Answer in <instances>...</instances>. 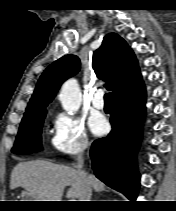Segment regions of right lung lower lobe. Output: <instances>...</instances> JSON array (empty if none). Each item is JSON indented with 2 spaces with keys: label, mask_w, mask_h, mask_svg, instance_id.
Instances as JSON below:
<instances>
[{
  "label": "right lung lower lobe",
  "mask_w": 176,
  "mask_h": 211,
  "mask_svg": "<svg viewBox=\"0 0 176 211\" xmlns=\"http://www.w3.org/2000/svg\"><path fill=\"white\" fill-rule=\"evenodd\" d=\"M145 101L144 84L132 94L114 99L112 131L106 138L94 141L90 151L96 177L131 201L137 198L140 185L136 153L142 138Z\"/></svg>",
  "instance_id": "1"
}]
</instances>
